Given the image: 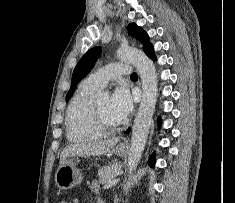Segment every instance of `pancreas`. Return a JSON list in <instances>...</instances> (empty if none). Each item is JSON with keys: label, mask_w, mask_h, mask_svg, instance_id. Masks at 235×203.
I'll return each instance as SVG.
<instances>
[{"label": "pancreas", "mask_w": 235, "mask_h": 203, "mask_svg": "<svg viewBox=\"0 0 235 203\" xmlns=\"http://www.w3.org/2000/svg\"><path fill=\"white\" fill-rule=\"evenodd\" d=\"M120 171H121L120 164L103 166L98 170L99 183L106 185L107 183L112 181L116 177L117 173Z\"/></svg>", "instance_id": "obj_1"}]
</instances>
